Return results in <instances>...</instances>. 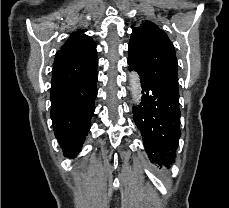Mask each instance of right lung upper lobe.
Returning <instances> with one entry per match:
<instances>
[{
	"mask_svg": "<svg viewBox=\"0 0 229 208\" xmlns=\"http://www.w3.org/2000/svg\"><path fill=\"white\" fill-rule=\"evenodd\" d=\"M76 32L56 53L53 64L51 92L89 75L98 64L96 45L91 38Z\"/></svg>",
	"mask_w": 229,
	"mask_h": 208,
	"instance_id": "cb5924a9",
	"label": "right lung upper lobe"
}]
</instances>
